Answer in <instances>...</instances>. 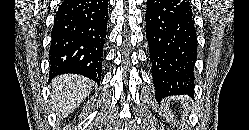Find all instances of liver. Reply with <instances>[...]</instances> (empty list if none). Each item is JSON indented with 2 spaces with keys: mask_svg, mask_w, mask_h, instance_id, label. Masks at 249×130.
I'll return each instance as SVG.
<instances>
[{
  "mask_svg": "<svg viewBox=\"0 0 249 130\" xmlns=\"http://www.w3.org/2000/svg\"><path fill=\"white\" fill-rule=\"evenodd\" d=\"M52 88V110L63 118L74 111L89 95L92 83L78 75H63L53 80Z\"/></svg>",
  "mask_w": 249,
  "mask_h": 130,
  "instance_id": "6515ba94",
  "label": "liver"
}]
</instances>
